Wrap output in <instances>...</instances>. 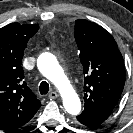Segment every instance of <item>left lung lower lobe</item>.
Instances as JSON below:
<instances>
[{"label": "left lung lower lobe", "instance_id": "obj_1", "mask_svg": "<svg viewBox=\"0 0 133 133\" xmlns=\"http://www.w3.org/2000/svg\"><path fill=\"white\" fill-rule=\"evenodd\" d=\"M107 118L94 116L86 112H82L80 115L77 116V120L80 124L90 127L96 128L101 125Z\"/></svg>", "mask_w": 133, "mask_h": 133}]
</instances>
